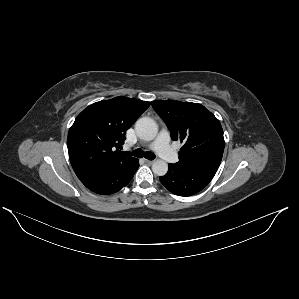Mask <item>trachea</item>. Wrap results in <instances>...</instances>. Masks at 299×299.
Segmentation results:
<instances>
[{"mask_svg":"<svg viewBox=\"0 0 299 299\" xmlns=\"http://www.w3.org/2000/svg\"><path fill=\"white\" fill-rule=\"evenodd\" d=\"M132 155L138 158L145 157L146 159L153 160L155 159V155L151 152L144 153L141 149H136L132 152Z\"/></svg>","mask_w":299,"mask_h":299,"instance_id":"trachea-1","label":"trachea"}]
</instances>
